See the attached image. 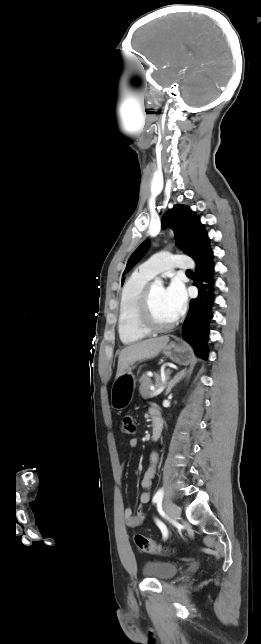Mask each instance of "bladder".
I'll use <instances>...</instances> for the list:
<instances>
[{
  "label": "bladder",
  "mask_w": 261,
  "mask_h": 644,
  "mask_svg": "<svg viewBox=\"0 0 261 644\" xmlns=\"http://www.w3.org/2000/svg\"><path fill=\"white\" fill-rule=\"evenodd\" d=\"M179 571V567L170 562L148 561L144 564L143 574L149 578L160 581L173 578Z\"/></svg>",
  "instance_id": "31cf9c89"
}]
</instances>
